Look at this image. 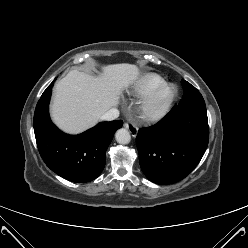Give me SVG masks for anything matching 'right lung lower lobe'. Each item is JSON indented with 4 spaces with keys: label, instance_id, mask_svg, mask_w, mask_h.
<instances>
[{
    "label": "right lung lower lobe",
    "instance_id": "1",
    "mask_svg": "<svg viewBox=\"0 0 248 248\" xmlns=\"http://www.w3.org/2000/svg\"><path fill=\"white\" fill-rule=\"evenodd\" d=\"M53 83L42 94L34 113L33 125L40 155L46 165L64 179L89 182L102 172L106 150L123 122H100L76 136L61 132L50 120L48 111Z\"/></svg>",
    "mask_w": 248,
    "mask_h": 248
}]
</instances>
